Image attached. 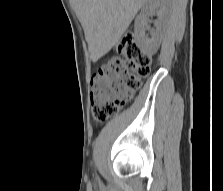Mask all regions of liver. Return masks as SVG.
I'll return each mask as SVG.
<instances>
[{
    "mask_svg": "<svg viewBox=\"0 0 223 191\" xmlns=\"http://www.w3.org/2000/svg\"><path fill=\"white\" fill-rule=\"evenodd\" d=\"M146 1L73 0L93 61L100 59L120 40Z\"/></svg>",
    "mask_w": 223,
    "mask_h": 191,
    "instance_id": "obj_1",
    "label": "liver"
}]
</instances>
